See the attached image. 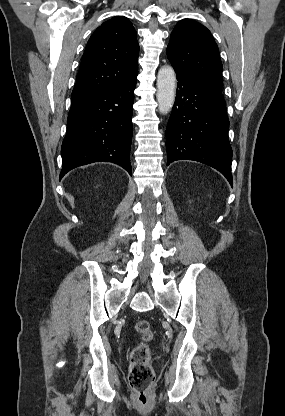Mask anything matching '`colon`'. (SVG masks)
<instances>
[{"instance_id": "colon-1", "label": "colon", "mask_w": 285, "mask_h": 416, "mask_svg": "<svg viewBox=\"0 0 285 416\" xmlns=\"http://www.w3.org/2000/svg\"><path fill=\"white\" fill-rule=\"evenodd\" d=\"M135 328L141 341L131 353L129 383L135 391L137 405L145 408L154 399L153 386L155 375L150 365L149 349V342L153 337V329L147 320H139Z\"/></svg>"}]
</instances>
